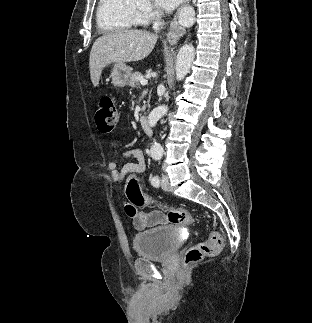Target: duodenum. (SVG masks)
I'll list each match as a JSON object with an SVG mask.
<instances>
[{"label": "duodenum", "mask_w": 312, "mask_h": 323, "mask_svg": "<svg viewBox=\"0 0 312 323\" xmlns=\"http://www.w3.org/2000/svg\"><path fill=\"white\" fill-rule=\"evenodd\" d=\"M139 125H140V128L146 132V133H150L151 132V128H150V125H149V122H148V119L146 116L142 115L140 116L139 120Z\"/></svg>", "instance_id": "1"}]
</instances>
